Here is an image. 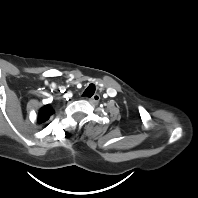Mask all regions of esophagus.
Here are the masks:
<instances>
[{
	"label": "esophagus",
	"instance_id": "34e87169",
	"mask_svg": "<svg viewBox=\"0 0 198 198\" xmlns=\"http://www.w3.org/2000/svg\"><path fill=\"white\" fill-rule=\"evenodd\" d=\"M99 100H100V95H99V94H94V95L89 99V101H90L91 103H94V104L98 103Z\"/></svg>",
	"mask_w": 198,
	"mask_h": 198
}]
</instances>
